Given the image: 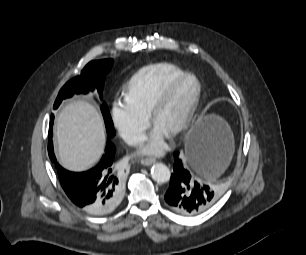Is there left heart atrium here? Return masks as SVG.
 I'll list each match as a JSON object with an SVG mask.
<instances>
[{
	"label": "left heart atrium",
	"instance_id": "left-heart-atrium-1",
	"mask_svg": "<svg viewBox=\"0 0 306 255\" xmlns=\"http://www.w3.org/2000/svg\"><path fill=\"white\" fill-rule=\"evenodd\" d=\"M168 132L155 125L146 143L141 147L140 153L159 155L162 154L166 147V138Z\"/></svg>",
	"mask_w": 306,
	"mask_h": 255
}]
</instances>
